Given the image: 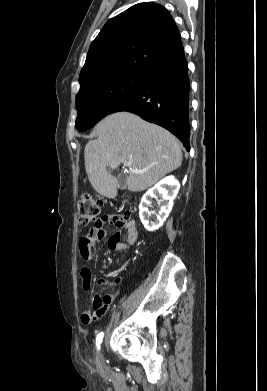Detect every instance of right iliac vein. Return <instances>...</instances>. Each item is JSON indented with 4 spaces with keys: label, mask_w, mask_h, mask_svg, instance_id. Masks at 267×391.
<instances>
[{
    "label": "right iliac vein",
    "mask_w": 267,
    "mask_h": 391,
    "mask_svg": "<svg viewBox=\"0 0 267 391\" xmlns=\"http://www.w3.org/2000/svg\"><path fill=\"white\" fill-rule=\"evenodd\" d=\"M96 362H97L98 366H102V364H103V361H102V355H101V352H99V353H98V356H97Z\"/></svg>",
    "instance_id": "obj_1"
}]
</instances>
